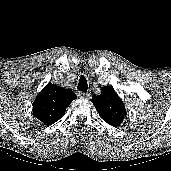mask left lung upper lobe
Here are the masks:
<instances>
[{"instance_id":"obj_1","label":"left lung upper lobe","mask_w":171,"mask_h":171,"mask_svg":"<svg viewBox=\"0 0 171 171\" xmlns=\"http://www.w3.org/2000/svg\"><path fill=\"white\" fill-rule=\"evenodd\" d=\"M92 103L99 116L109 125L116 127L123 122L125 106L112 86L104 87L100 95H93Z\"/></svg>"}]
</instances>
